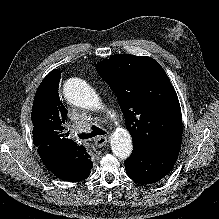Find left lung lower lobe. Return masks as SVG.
I'll return each instance as SVG.
<instances>
[{
    "label": "left lung lower lobe",
    "mask_w": 219,
    "mask_h": 219,
    "mask_svg": "<svg viewBox=\"0 0 219 219\" xmlns=\"http://www.w3.org/2000/svg\"><path fill=\"white\" fill-rule=\"evenodd\" d=\"M177 158L178 154H161L133 147V154L125 161V169L134 181L142 184L155 183L170 172Z\"/></svg>",
    "instance_id": "obj_1"
}]
</instances>
